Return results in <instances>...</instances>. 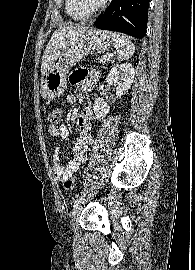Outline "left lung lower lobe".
<instances>
[{
  "mask_svg": "<svg viewBox=\"0 0 195 270\" xmlns=\"http://www.w3.org/2000/svg\"><path fill=\"white\" fill-rule=\"evenodd\" d=\"M150 0H112L94 25L98 29L118 31L137 39L145 36Z\"/></svg>",
  "mask_w": 195,
  "mask_h": 270,
  "instance_id": "1",
  "label": "left lung lower lobe"
}]
</instances>
